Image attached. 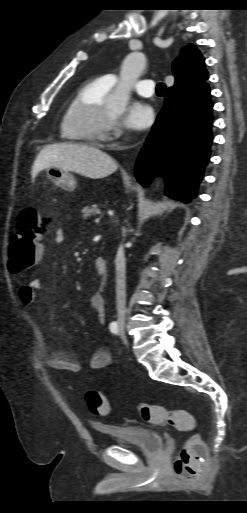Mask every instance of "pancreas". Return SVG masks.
Masks as SVG:
<instances>
[{
  "instance_id": "cf45deb5",
  "label": "pancreas",
  "mask_w": 247,
  "mask_h": 513,
  "mask_svg": "<svg viewBox=\"0 0 247 513\" xmlns=\"http://www.w3.org/2000/svg\"><path fill=\"white\" fill-rule=\"evenodd\" d=\"M82 217L86 219L87 217L94 216L100 213L97 205L85 206L82 210Z\"/></svg>"
}]
</instances>
